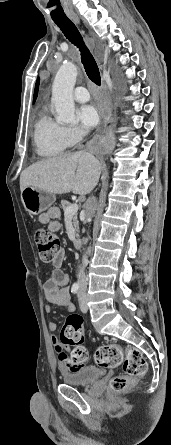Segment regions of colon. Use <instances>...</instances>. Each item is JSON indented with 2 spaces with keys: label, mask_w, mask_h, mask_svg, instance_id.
<instances>
[{
  "label": "colon",
  "mask_w": 171,
  "mask_h": 445,
  "mask_svg": "<svg viewBox=\"0 0 171 445\" xmlns=\"http://www.w3.org/2000/svg\"><path fill=\"white\" fill-rule=\"evenodd\" d=\"M35 241L41 260L51 263L60 251L59 238L45 229L35 231ZM83 318L79 315H70L62 328L61 341L73 347L70 358L73 362H84L88 353L83 346L81 327ZM95 363L101 368H114L122 365L123 373L113 377L108 384L112 393H121L128 390L137 378L145 375L147 364L142 353L137 348L124 349L120 344L111 343L99 347L94 354Z\"/></svg>",
  "instance_id": "1"
}]
</instances>
